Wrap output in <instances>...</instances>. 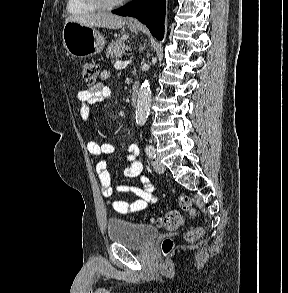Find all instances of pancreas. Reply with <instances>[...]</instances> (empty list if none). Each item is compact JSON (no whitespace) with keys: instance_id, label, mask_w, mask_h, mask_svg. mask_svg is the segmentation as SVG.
I'll return each instance as SVG.
<instances>
[{"instance_id":"cf45deb5","label":"pancreas","mask_w":288,"mask_h":293,"mask_svg":"<svg viewBox=\"0 0 288 293\" xmlns=\"http://www.w3.org/2000/svg\"><path fill=\"white\" fill-rule=\"evenodd\" d=\"M124 41V38L112 41L106 50V56L113 61L118 60L123 55L124 49L126 48Z\"/></svg>"}]
</instances>
